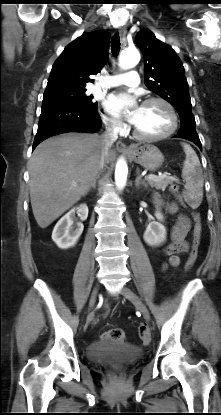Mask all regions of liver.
<instances>
[{
    "mask_svg": "<svg viewBox=\"0 0 221 415\" xmlns=\"http://www.w3.org/2000/svg\"><path fill=\"white\" fill-rule=\"evenodd\" d=\"M115 156V151L109 150L105 161H113ZM101 158L97 134L66 133L37 146L29 161V187L32 211L41 228L49 226L88 193Z\"/></svg>",
    "mask_w": 221,
    "mask_h": 415,
    "instance_id": "liver-1",
    "label": "liver"
}]
</instances>
